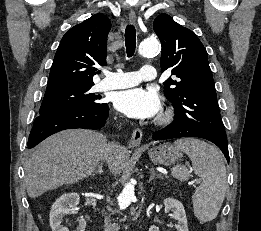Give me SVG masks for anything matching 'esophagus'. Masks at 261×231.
<instances>
[{"label": "esophagus", "mask_w": 261, "mask_h": 231, "mask_svg": "<svg viewBox=\"0 0 261 231\" xmlns=\"http://www.w3.org/2000/svg\"><path fill=\"white\" fill-rule=\"evenodd\" d=\"M129 21L131 23L136 22V14L133 10H131L130 13H129ZM142 136H143L142 130L140 128H136L132 133V136H131V139H130V144L133 147H139L140 144H141Z\"/></svg>", "instance_id": "esophagus-1"}]
</instances>
